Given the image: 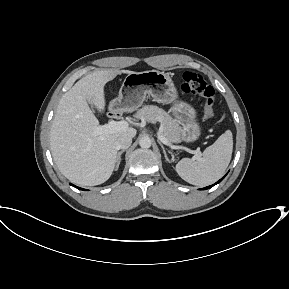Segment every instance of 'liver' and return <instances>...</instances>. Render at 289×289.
<instances>
[{"mask_svg":"<svg viewBox=\"0 0 289 289\" xmlns=\"http://www.w3.org/2000/svg\"><path fill=\"white\" fill-rule=\"evenodd\" d=\"M129 70H99L81 78L60 99L50 130V149L60 172L71 182L95 186L107 181L117 161V139L135 137L132 127L97 135L99 125L88 106L92 102L99 112L105 110L104 86L118 74Z\"/></svg>","mask_w":289,"mask_h":289,"instance_id":"obj_1","label":"liver"}]
</instances>
